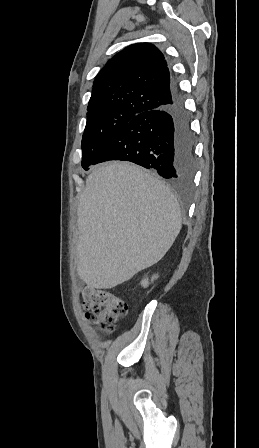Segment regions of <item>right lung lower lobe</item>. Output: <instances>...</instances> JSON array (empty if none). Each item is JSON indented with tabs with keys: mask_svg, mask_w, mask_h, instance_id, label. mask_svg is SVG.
<instances>
[{
	"mask_svg": "<svg viewBox=\"0 0 259 448\" xmlns=\"http://www.w3.org/2000/svg\"><path fill=\"white\" fill-rule=\"evenodd\" d=\"M171 80V102L134 117L92 165L126 160L155 170L171 184L190 183L195 167L194 136L173 74Z\"/></svg>",
	"mask_w": 259,
	"mask_h": 448,
	"instance_id": "obj_1",
	"label": "right lung lower lobe"
}]
</instances>
